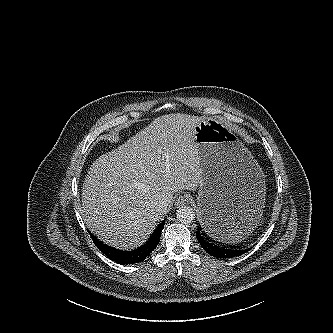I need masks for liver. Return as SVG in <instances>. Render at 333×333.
<instances>
[{
  "label": "liver",
  "instance_id": "1",
  "mask_svg": "<svg viewBox=\"0 0 333 333\" xmlns=\"http://www.w3.org/2000/svg\"><path fill=\"white\" fill-rule=\"evenodd\" d=\"M201 120L181 113L160 116L94 161L83 183L81 208L91 232L120 248L146 241L173 195L200 186L195 127ZM161 202L167 204L165 212Z\"/></svg>",
  "mask_w": 333,
  "mask_h": 333
}]
</instances>
